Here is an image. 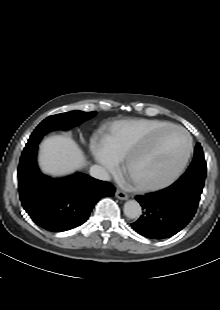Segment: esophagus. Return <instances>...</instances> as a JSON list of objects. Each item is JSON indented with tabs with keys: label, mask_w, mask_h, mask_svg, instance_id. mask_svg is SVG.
I'll list each match as a JSON object with an SVG mask.
<instances>
[{
	"label": "esophagus",
	"mask_w": 220,
	"mask_h": 310,
	"mask_svg": "<svg viewBox=\"0 0 220 310\" xmlns=\"http://www.w3.org/2000/svg\"><path fill=\"white\" fill-rule=\"evenodd\" d=\"M115 196L120 200H127L129 198L128 194L121 190H116Z\"/></svg>",
	"instance_id": "1"
}]
</instances>
